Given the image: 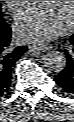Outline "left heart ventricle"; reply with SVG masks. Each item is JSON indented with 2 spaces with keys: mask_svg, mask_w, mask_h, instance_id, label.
<instances>
[{
  "mask_svg": "<svg viewBox=\"0 0 74 122\" xmlns=\"http://www.w3.org/2000/svg\"><path fill=\"white\" fill-rule=\"evenodd\" d=\"M45 5H52L66 21L71 20L72 1H41Z\"/></svg>",
  "mask_w": 74,
  "mask_h": 122,
  "instance_id": "1",
  "label": "left heart ventricle"
}]
</instances>
